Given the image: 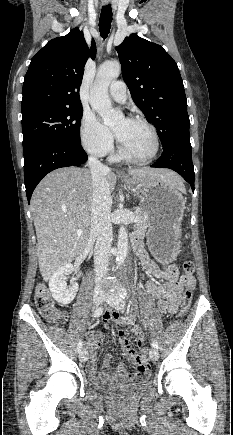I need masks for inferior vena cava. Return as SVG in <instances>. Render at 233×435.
Here are the masks:
<instances>
[{
    "instance_id": "inferior-vena-cava-1",
    "label": "inferior vena cava",
    "mask_w": 233,
    "mask_h": 435,
    "mask_svg": "<svg viewBox=\"0 0 233 435\" xmlns=\"http://www.w3.org/2000/svg\"><path fill=\"white\" fill-rule=\"evenodd\" d=\"M88 166L93 185L90 235L97 236L94 249V268L96 275L95 287L98 288L108 269L107 259L113 239L110 221L112 197L106 180V174L110 170L93 156L88 158Z\"/></svg>"
}]
</instances>
